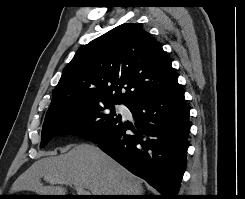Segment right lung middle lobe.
I'll return each instance as SVG.
<instances>
[{
	"mask_svg": "<svg viewBox=\"0 0 245 199\" xmlns=\"http://www.w3.org/2000/svg\"><path fill=\"white\" fill-rule=\"evenodd\" d=\"M115 104L117 103L73 105L46 116L40 147L59 135L73 134L86 140L96 137L121 119V115L115 113Z\"/></svg>",
	"mask_w": 245,
	"mask_h": 199,
	"instance_id": "obj_1",
	"label": "right lung middle lobe"
}]
</instances>
